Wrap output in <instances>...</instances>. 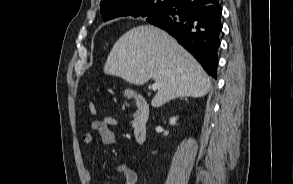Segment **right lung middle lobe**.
<instances>
[{
  "label": "right lung middle lobe",
  "instance_id": "1",
  "mask_svg": "<svg viewBox=\"0 0 293 184\" xmlns=\"http://www.w3.org/2000/svg\"><path fill=\"white\" fill-rule=\"evenodd\" d=\"M163 16L162 11H158L156 9H148L144 12H140L136 17H148L147 21L159 19Z\"/></svg>",
  "mask_w": 293,
  "mask_h": 184
}]
</instances>
